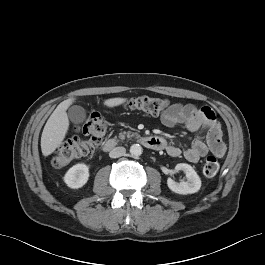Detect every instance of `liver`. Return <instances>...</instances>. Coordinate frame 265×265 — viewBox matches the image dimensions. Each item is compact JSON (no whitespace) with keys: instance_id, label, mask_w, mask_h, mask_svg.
<instances>
[{"instance_id":"1","label":"liver","mask_w":265,"mask_h":265,"mask_svg":"<svg viewBox=\"0 0 265 265\" xmlns=\"http://www.w3.org/2000/svg\"><path fill=\"white\" fill-rule=\"evenodd\" d=\"M126 98H110L104 101L107 107H114L126 102ZM75 101V98H69L62 101L47 120L42 136L41 151L44 156L52 154L64 140L69 129V119L66 110Z\"/></svg>"}]
</instances>
